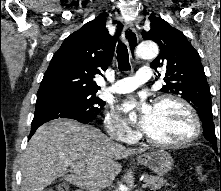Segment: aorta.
Returning a JSON list of instances; mask_svg holds the SVG:
<instances>
[{
	"label": "aorta",
	"instance_id": "762f6f07",
	"mask_svg": "<svg viewBox=\"0 0 221 191\" xmlns=\"http://www.w3.org/2000/svg\"><path fill=\"white\" fill-rule=\"evenodd\" d=\"M158 55V46L152 41L142 42L137 48V56L141 59H152ZM116 191H125V186L120 185Z\"/></svg>",
	"mask_w": 221,
	"mask_h": 191
}]
</instances>
